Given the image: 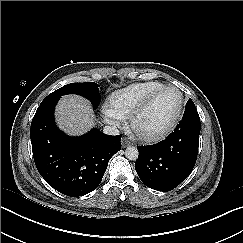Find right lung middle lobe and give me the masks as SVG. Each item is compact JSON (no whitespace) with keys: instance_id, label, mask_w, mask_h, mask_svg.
<instances>
[{"instance_id":"1","label":"right lung middle lobe","mask_w":243,"mask_h":243,"mask_svg":"<svg viewBox=\"0 0 243 243\" xmlns=\"http://www.w3.org/2000/svg\"><path fill=\"white\" fill-rule=\"evenodd\" d=\"M98 86L99 85L94 82L70 83L52 92L44 100L60 98L66 94H78L89 99L92 102L94 108H97L101 99Z\"/></svg>"}]
</instances>
